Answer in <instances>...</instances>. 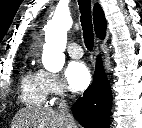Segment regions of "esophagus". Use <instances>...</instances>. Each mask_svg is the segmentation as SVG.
Masks as SVG:
<instances>
[{"mask_svg": "<svg viewBox=\"0 0 142 128\" xmlns=\"http://www.w3.org/2000/svg\"><path fill=\"white\" fill-rule=\"evenodd\" d=\"M94 54H95L96 56L99 55V48H98V45H97V44H96V46H95Z\"/></svg>", "mask_w": 142, "mask_h": 128, "instance_id": "esophagus-1", "label": "esophagus"}]
</instances>
